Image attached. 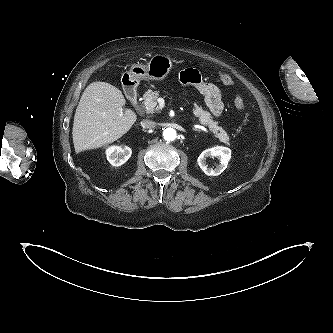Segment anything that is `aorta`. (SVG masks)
<instances>
[{
	"label": "aorta",
	"mask_w": 333,
	"mask_h": 333,
	"mask_svg": "<svg viewBox=\"0 0 333 333\" xmlns=\"http://www.w3.org/2000/svg\"><path fill=\"white\" fill-rule=\"evenodd\" d=\"M176 136H177V133H176L175 129H173V128H166L163 131V137L167 141H173V140H175Z\"/></svg>",
	"instance_id": "1"
}]
</instances>
